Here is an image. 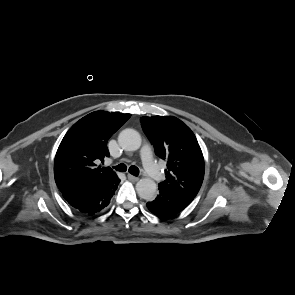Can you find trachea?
Instances as JSON below:
<instances>
[{
	"label": "trachea",
	"instance_id": "1",
	"mask_svg": "<svg viewBox=\"0 0 295 295\" xmlns=\"http://www.w3.org/2000/svg\"><path fill=\"white\" fill-rule=\"evenodd\" d=\"M116 171H120V172H125L127 170V166L124 163H120L119 165L113 167ZM128 172L134 176H138L139 175V169L132 165L129 167Z\"/></svg>",
	"mask_w": 295,
	"mask_h": 295
}]
</instances>
